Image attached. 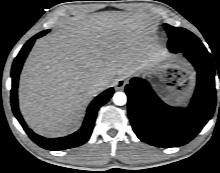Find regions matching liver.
<instances>
[{
    "label": "liver",
    "mask_w": 220,
    "mask_h": 173,
    "mask_svg": "<svg viewBox=\"0 0 220 173\" xmlns=\"http://www.w3.org/2000/svg\"><path fill=\"white\" fill-rule=\"evenodd\" d=\"M149 21L146 14L95 13L38 40L20 78L26 121L42 134L77 127L85 106L105 87H93L95 79L109 85L115 76L136 72Z\"/></svg>",
    "instance_id": "obj_1"
}]
</instances>
